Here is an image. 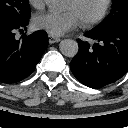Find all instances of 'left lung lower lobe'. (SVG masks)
Segmentation results:
<instances>
[{
  "label": "left lung lower lobe",
  "mask_w": 128,
  "mask_h": 128,
  "mask_svg": "<svg viewBox=\"0 0 128 128\" xmlns=\"http://www.w3.org/2000/svg\"><path fill=\"white\" fill-rule=\"evenodd\" d=\"M94 44L78 40L79 51L70 62L73 75L84 85L101 88L128 72V24L86 33Z\"/></svg>",
  "instance_id": "0a47b994"
}]
</instances>
